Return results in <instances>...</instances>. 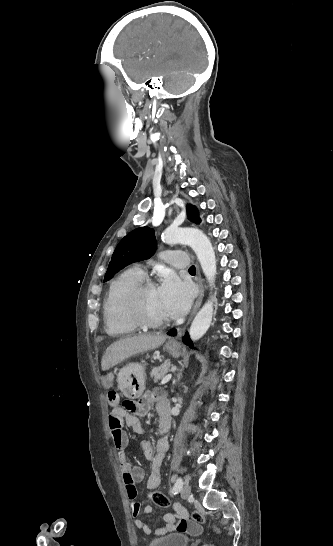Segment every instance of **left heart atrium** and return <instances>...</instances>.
<instances>
[{
    "instance_id": "39dd6f15",
    "label": "left heart atrium",
    "mask_w": 333,
    "mask_h": 546,
    "mask_svg": "<svg viewBox=\"0 0 333 546\" xmlns=\"http://www.w3.org/2000/svg\"><path fill=\"white\" fill-rule=\"evenodd\" d=\"M158 294L168 318H177L184 315L190 308L192 301L191 287L182 282L174 273L164 274L158 287Z\"/></svg>"
}]
</instances>
